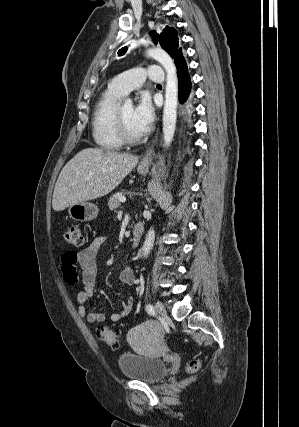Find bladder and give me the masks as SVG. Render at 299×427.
Listing matches in <instances>:
<instances>
[{
	"instance_id": "obj_1",
	"label": "bladder",
	"mask_w": 299,
	"mask_h": 427,
	"mask_svg": "<svg viewBox=\"0 0 299 427\" xmlns=\"http://www.w3.org/2000/svg\"><path fill=\"white\" fill-rule=\"evenodd\" d=\"M118 366L126 378L145 383L159 381L168 369L162 359L127 352L118 357Z\"/></svg>"
}]
</instances>
